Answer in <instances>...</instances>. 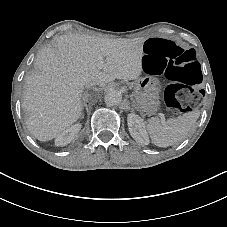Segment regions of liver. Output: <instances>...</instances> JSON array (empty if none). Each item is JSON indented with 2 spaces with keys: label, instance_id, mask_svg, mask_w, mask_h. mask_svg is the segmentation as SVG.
Listing matches in <instances>:
<instances>
[{
  "label": "liver",
  "instance_id": "liver-1",
  "mask_svg": "<svg viewBox=\"0 0 227 227\" xmlns=\"http://www.w3.org/2000/svg\"><path fill=\"white\" fill-rule=\"evenodd\" d=\"M145 41L69 34L60 36L55 48H44L37 55L38 71L25 77L28 130L39 141L52 140L82 116V93L91 82L112 88L115 79H137Z\"/></svg>",
  "mask_w": 227,
  "mask_h": 227
}]
</instances>
